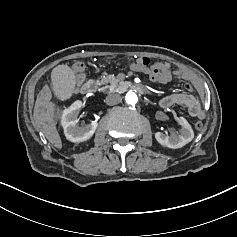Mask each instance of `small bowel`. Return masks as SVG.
I'll list each match as a JSON object with an SVG mask.
<instances>
[{
    "label": "small bowel",
    "mask_w": 237,
    "mask_h": 237,
    "mask_svg": "<svg viewBox=\"0 0 237 237\" xmlns=\"http://www.w3.org/2000/svg\"><path fill=\"white\" fill-rule=\"evenodd\" d=\"M138 61V60H137ZM134 62L131 68L134 71L146 74V71L138 63ZM165 78V82L171 81L173 78H180L185 80L184 89L186 92L174 93L163 97L159 104L163 108H168L171 106H179L190 116L195 118L203 119L205 117V111L200 105L198 99L191 93L193 90L192 85V74L187 70L177 67L174 68L171 63L163 62L157 64ZM83 77H77V85L81 84Z\"/></svg>",
    "instance_id": "small-bowel-1"
}]
</instances>
